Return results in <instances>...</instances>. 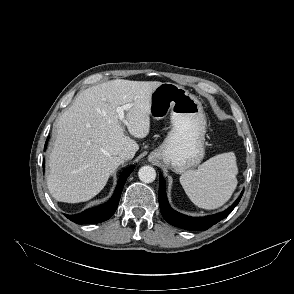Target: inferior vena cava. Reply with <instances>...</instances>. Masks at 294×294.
<instances>
[{"label":"inferior vena cava","instance_id":"602c4592","mask_svg":"<svg viewBox=\"0 0 294 294\" xmlns=\"http://www.w3.org/2000/svg\"><path fill=\"white\" fill-rule=\"evenodd\" d=\"M119 158L123 161L129 160L133 158V154L129 152L128 150H124L119 154Z\"/></svg>","mask_w":294,"mask_h":294}]
</instances>
